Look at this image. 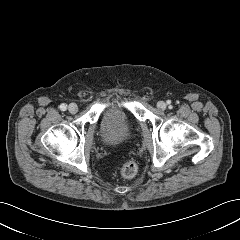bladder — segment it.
<instances>
[{
    "label": "bladder",
    "instance_id": "obj_1",
    "mask_svg": "<svg viewBox=\"0 0 240 240\" xmlns=\"http://www.w3.org/2000/svg\"><path fill=\"white\" fill-rule=\"evenodd\" d=\"M101 128L105 142L114 147L129 141L135 131L132 118L120 109L107 111L102 119Z\"/></svg>",
    "mask_w": 240,
    "mask_h": 240
}]
</instances>
